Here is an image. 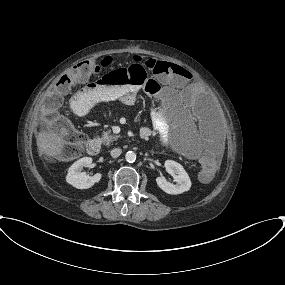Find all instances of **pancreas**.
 Returning a JSON list of instances; mask_svg holds the SVG:
<instances>
[{"instance_id": "cf45deb5", "label": "pancreas", "mask_w": 285, "mask_h": 285, "mask_svg": "<svg viewBox=\"0 0 285 285\" xmlns=\"http://www.w3.org/2000/svg\"><path fill=\"white\" fill-rule=\"evenodd\" d=\"M120 136L111 134V132H103L101 142L105 145H110L112 142L116 141Z\"/></svg>"}]
</instances>
